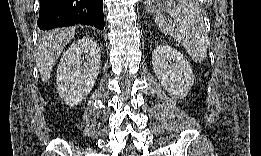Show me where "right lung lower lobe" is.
I'll use <instances>...</instances> for the list:
<instances>
[{
	"mask_svg": "<svg viewBox=\"0 0 261 156\" xmlns=\"http://www.w3.org/2000/svg\"><path fill=\"white\" fill-rule=\"evenodd\" d=\"M75 24L104 29L103 0H40L38 27L41 30Z\"/></svg>",
	"mask_w": 261,
	"mask_h": 156,
	"instance_id": "1",
	"label": "right lung lower lobe"
}]
</instances>
